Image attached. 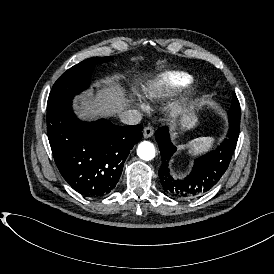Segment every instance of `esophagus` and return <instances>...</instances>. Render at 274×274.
<instances>
[{"label": "esophagus", "mask_w": 274, "mask_h": 274, "mask_svg": "<svg viewBox=\"0 0 274 274\" xmlns=\"http://www.w3.org/2000/svg\"><path fill=\"white\" fill-rule=\"evenodd\" d=\"M154 134V130L152 127L150 126H146L144 129H143V136L144 138H150L152 137Z\"/></svg>", "instance_id": "34e87169"}]
</instances>
